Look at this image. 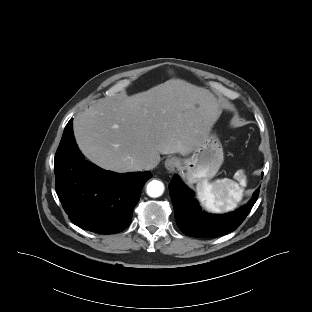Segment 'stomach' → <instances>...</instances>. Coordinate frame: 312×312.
<instances>
[{
	"instance_id": "1",
	"label": "stomach",
	"mask_w": 312,
	"mask_h": 312,
	"mask_svg": "<svg viewBox=\"0 0 312 312\" xmlns=\"http://www.w3.org/2000/svg\"><path fill=\"white\" fill-rule=\"evenodd\" d=\"M223 161L222 144L214 133H209L190 157L180 159L179 169L185 171L189 183H201L213 178Z\"/></svg>"
}]
</instances>
